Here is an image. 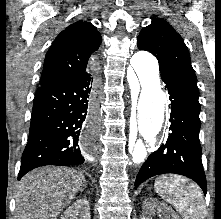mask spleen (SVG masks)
Listing matches in <instances>:
<instances>
[{"instance_id":"obj_1","label":"spleen","mask_w":221,"mask_h":219,"mask_svg":"<svg viewBox=\"0 0 221 219\" xmlns=\"http://www.w3.org/2000/svg\"><path fill=\"white\" fill-rule=\"evenodd\" d=\"M156 192L174 205L183 219H204L206 206L202 192L186 178L162 176L155 181Z\"/></svg>"}]
</instances>
